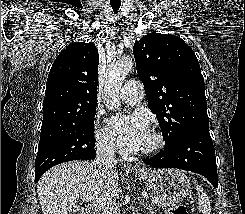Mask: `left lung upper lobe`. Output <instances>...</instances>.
<instances>
[{"label":"left lung upper lobe","instance_id":"1","mask_svg":"<svg viewBox=\"0 0 245 214\" xmlns=\"http://www.w3.org/2000/svg\"><path fill=\"white\" fill-rule=\"evenodd\" d=\"M137 73L165 148L196 128H209L204 78L193 50L178 36L148 33L133 46Z\"/></svg>","mask_w":245,"mask_h":214}]
</instances>
